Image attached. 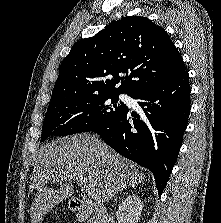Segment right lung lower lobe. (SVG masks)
I'll use <instances>...</instances> for the list:
<instances>
[{
    "mask_svg": "<svg viewBox=\"0 0 221 223\" xmlns=\"http://www.w3.org/2000/svg\"><path fill=\"white\" fill-rule=\"evenodd\" d=\"M190 83L185 70L179 77L141 88L129 96L138 100L141 115L126 107L109 123L92 130L122 156L148 168L159 196L179 154L190 113Z\"/></svg>",
    "mask_w": 221,
    "mask_h": 223,
    "instance_id": "1",
    "label": "right lung lower lobe"
}]
</instances>
